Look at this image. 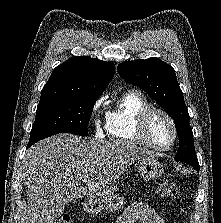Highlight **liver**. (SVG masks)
Listing matches in <instances>:
<instances>
[{
    "label": "liver",
    "instance_id": "obj_1",
    "mask_svg": "<svg viewBox=\"0 0 221 223\" xmlns=\"http://www.w3.org/2000/svg\"><path fill=\"white\" fill-rule=\"evenodd\" d=\"M149 157L151 151L122 140L65 133L37 142L23 159L28 205L21 223H54L67 202L109 188L134 161Z\"/></svg>",
    "mask_w": 221,
    "mask_h": 223
}]
</instances>
